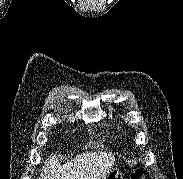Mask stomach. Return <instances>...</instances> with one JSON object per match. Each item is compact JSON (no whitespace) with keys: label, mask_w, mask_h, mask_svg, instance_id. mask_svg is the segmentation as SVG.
Here are the masks:
<instances>
[{"label":"stomach","mask_w":183,"mask_h":179,"mask_svg":"<svg viewBox=\"0 0 183 179\" xmlns=\"http://www.w3.org/2000/svg\"><path fill=\"white\" fill-rule=\"evenodd\" d=\"M106 179H122V173L117 168H112Z\"/></svg>","instance_id":"0dacf381"}]
</instances>
